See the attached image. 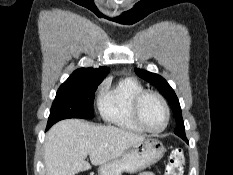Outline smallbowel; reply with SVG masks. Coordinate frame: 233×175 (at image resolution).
<instances>
[{"label":"small bowel","instance_id":"1","mask_svg":"<svg viewBox=\"0 0 233 175\" xmlns=\"http://www.w3.org/2000/svg\"><path fill=\"white\" fill-rule=\"evenodd\" d=\"M140 175H154V174L151 172H144V173H141Z\"/></svg>","mask_w":233,"mask_h":175}]
</instances>
